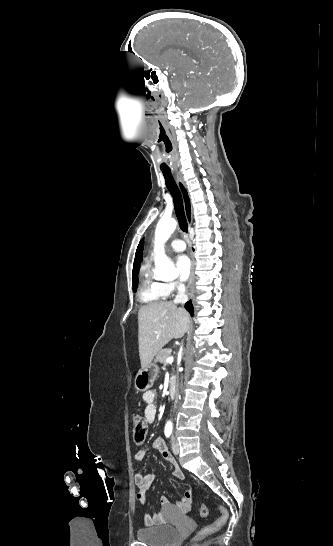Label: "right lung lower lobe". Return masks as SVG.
<instances>
[{
	"label": "right lung lower lobe",
	"mask_w": 333,
	"mask_h": 546,
	"mask_svg": "<svg viewBox=\"0 0 333 546\" xmlns=\"http://www.w3.org/2000/svg\"><path fill=\"white\" fill-rule=\"evenodd\" d=\"M185 308L190 312L191 315H193V305L191 302H187Z\"/></svg>",
	"instance_id": "right-lung-lower-lobe-1"
}]
</instances>
